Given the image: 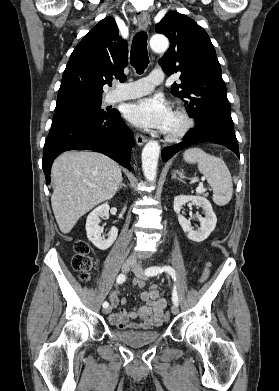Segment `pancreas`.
Instances as JSON below:
<instances>
[{
  "instance_id": "pancreas-1",
  "label": "pancreas",
  "mask_w": 279,
  "mask_h": 391,
  "mask_svg": "<svg viewBox=\"0 0 279 391\" xmlns=\"http://www.w3.org/2000/svg\"><path fill=\"white\" fill-rule=\"evenodd\" d=\"M204 196H207V194H205V193H202Z\"/></svg>"
}]
</instances>
